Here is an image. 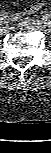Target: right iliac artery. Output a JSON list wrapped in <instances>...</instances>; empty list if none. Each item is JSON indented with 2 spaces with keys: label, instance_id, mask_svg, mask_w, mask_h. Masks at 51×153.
<instances>
[{
  "label": "right iliac artery",
  "instance_id": "82829eb1",
  "mask_svg": "<svg viewBox=\"0 0 51 153\" xmlns=\"http://www.w3.org/2000/svg\"><path fill=\"white\" fill-rule=\"evenodd\" d=\"M8 15H7V13L5 12V11H2L1 12V15H0V23H1V25H5V24H7L8 23Z\"/></svg>",
  "mask_w": 51,
  "mask_h": 153
}]
</instances>
